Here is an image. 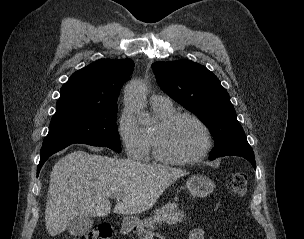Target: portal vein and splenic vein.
Segmentation results:
<instances>
[{"label": "portal vein and splenic vein", "mask_w": 304, "mask_h": 239, "mask_svg": "<svg viewBox=\"0 0 304 239\" xmlns=\"http://www.w3.org/2000/svg\"><path fill=\"white\" fill-rule=\"evenodd\" d=\"M123 194L122 193H115L113 195V198L116 200V201H119L121 198H122Z\"/></svg>", "instance_id": "portal-vein-and-splenic-vein-1"}]
</instances>
